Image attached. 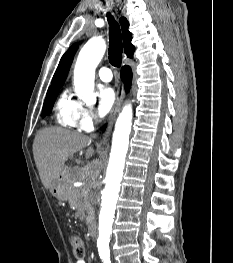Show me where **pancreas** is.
<instances>
[{"label": "pancreas", "instance_id": "pancreas-1", "mask_svg": "<svg viewBox=\"0 0 233 263\" xmlns=\"http://www.w3.org/2000/svg\"><path fill=\"white\" fill-rule=\"evenodd\" d=\"M78 179H72L71 177L68 178V183L71 184L72 182ZM67 199L70 206H74L76 209L85 210L86 215V222L89 223L91 221L92 207L91 204L88 202V199L82 192V188H73L71 187L68 190Z\"/></svg>", "mask_w": 233, "mask_h": 263}]
</instances>
